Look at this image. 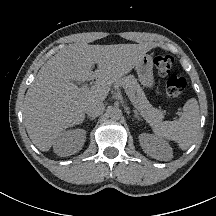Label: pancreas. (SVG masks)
Here are the masks:
<instances>
[{
    "label": "pancreas",
    "instance_id": "obj_1",
    "mask_svg": "<svg viewBox=\"0 0 216 216\" xmlns=\"http://www.w3.org/2000/svg\"><path fill=\"white\" fill-rule=\"evenodd\" d=\"M116 88L123 87L134 94L136 108L140 111L144 119L151 125H157L163 120V112L155 109L147 100L137 79L133 75L120 78L114 83Z\"/></svg>",
    "mask_w": 216,
    "mask_h": 216
}]
</instances>
